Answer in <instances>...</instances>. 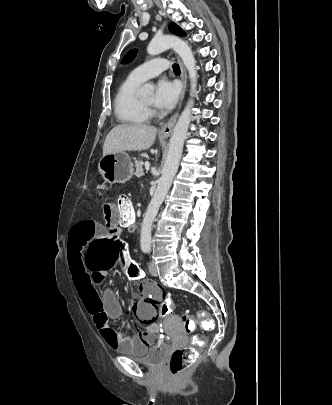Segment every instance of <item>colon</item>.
<instances>
[{
    "instance_id": "colon-1",
    "label": "colon",
    "mask_w": 332,
    "mask_h": 405,
    "mask_svg": "<svg viewBox=\"0 0 332 405\" xmlns=\"http://www.w3.org/2000/svg\"><path fill=\"white\" fill-rule=\"evenodd\" d=\"M114 208H119L121 220L120 223H126L130 219L135 217V210L132 206L130 198L125 194H120L116 197L113 204ZM108 240H93L92 247L87 248V257L89 262V268L92 273L96 275H125V272L129 273L126 277L127 281L141 282L144 277V272L137 262H133L132 256H127L123 253L125 247L124 240H117L116 234H109ZM125 264L127 269H125ZM152 288H162L160 285L153 284ZM164 299L158 300L159 313H155L154 320L157 323L159 330L166 328L168 319L173 318L174 301L171 296L166 293ZM197 319L201 322L205 330H212L213 323L209 318L205 310H199L196 313ZM182 328L185 332L190 333L193 331L195 321L189 313H183L181 315ZM162 342L169 340L167 333L160 335ZM196 343L203 342L202 335H196L194 337ZM197 358V352L193 347H183L174 350L171 354L169 361V370L172 375L179 376L186 371Z\"/></svg>"
}]
</instances>
